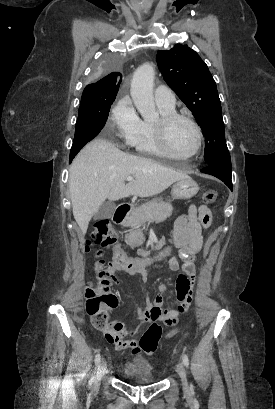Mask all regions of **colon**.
I'll return each instance as SVG.
<instances>
[{
  "label": "colon",
  "mask_w": 275,
  "mask_h": 409,
  "mask_svg": "<svg viewBox=\"0 0 275 409\" xmlns=\"http://www.w3.org/2000/svg\"><path fill=\"white\" fill-rule=\"evenodd\" d=\"M217 192L214 190H205L203 193V203L213 204L217 200ZM114 230L108 221H98L85 240V248L96 247L107 250L113 248L116 256L110 259L111 265L107 266L103 260L95 263V277L86 282L84 288V307L87 315L91 319L94 330H105L106 325H112L113 321L109 318V311L116 307L117 297L111 292V287L117 283L114 276L116 270H125L127 274H138L142 272L143 263L137 258L123 256L121 246L116 242ZM169 256V248L165 247L155 254V257L165 259ZM136 261V263H135ZM116 269V270H115ZM178 331L173 329L168 336L174 335Z\"/></svg>",
  "instance_id": "5ec220e1"
}]
</instances>
